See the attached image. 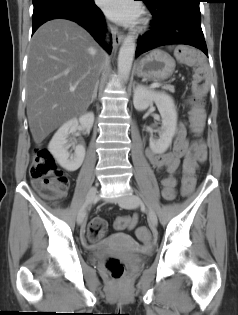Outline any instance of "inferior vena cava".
Segmentation results:
<instances>
[{"mask_svg": "<svg viewBox=\"0 0 238 315\" xmlns=\"http://www.w3.org/2000/svg\"><path fill=\"white\" fill-rule=\"evenodd\" d=\"M107 62H108V58H107V56L105 57V60H104V64H107Z\"/></svg>", "mask_w": 238, "mask_h": 315, "instance_id": "obj_1", "label": "inferior vena cava"}]
</instances>
